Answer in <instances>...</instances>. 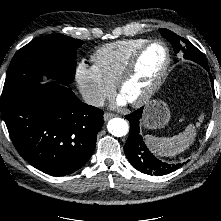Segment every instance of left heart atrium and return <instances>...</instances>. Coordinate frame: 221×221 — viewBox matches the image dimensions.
I'll use <instances>...</instances> for the list:
<instances>
[{
  "instance_id": "left-heart-atrium-1",
  "label": "left heart atrium",
  "mask_w": 221,
  "mask_h": 221,
  "mask_svg": "<svg viewBox=\"0 0 221 221\" xmlns=\"http://www.w3.org/2000/svg\"><path fill=\"white\" fill-rule=\"evenodd\" d=\"M127 101L122 97V96H120L119 98H118V104H124V103H126Z\"/></svg>"
}]
</instances>
